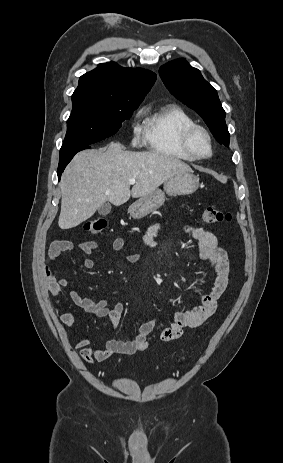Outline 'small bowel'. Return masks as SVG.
<instances>
[{
  "instance_id": "obj_1",
  "label": "small bowel",
  "mask_w": 283,
  "mask_h": 463,
  "mask_svg": "<svg viewBox=\"0 0 283 463\" xmlns=\"http://www.w3.org/2000/svg\"><path fill=\"white\" fill-rule=\"evenodd\" d=\"M161 228V223L152 224L146 231L143 241L146 246H155V237ZM185 232L196 241L195 250L197 255L211 263L215 270L216 278L211 291L204 295L200 304L175 315L173 323L164 328L158 335V340L167 342L180 338L183 330L186 327H197L204 323L216 310L217 301L224 294L229 283V260L226 251L218 244L216 236L201 227L192 225L185 226ZM126 240L122 237L116 238L112 247L117 252L124 250ZM98 247L97 243L92 240H86L79 244H75L70 240H55L50 244L47 263L56 262L62 253L79 249L83 254L90 255ZM126 259L132 264L140 262V256L136 253H127ZM95 263L91 258H85L83 267L87 270L94 268ZM45 286L47 291L57 299V303L61 307H65L62 300L63 289H68L71 300L80 308L92 312L99 317L107 318L112 327H116L121 319L123 312V304L117 302L113 305H108L107 300H92L81 297L75 290L70 289V282L66 278H56L48 265L44 268ZM57 312V311H56ZM61 322L72 327L75 323V315L71 311H67L60 315ZM158 323V318H154L143 323L137 335L129 340L109 339L103 347L90 346V339L87 336H82L76 343V348L80 350L81 359L87 363L103 362L109 359L114 354H134L147 350L151 341L149 339L151 333Z\"/></svg>"
}]
</instances>
